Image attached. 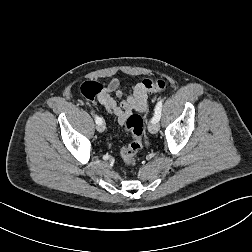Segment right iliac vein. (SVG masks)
I'll return each instance as SVG.
<instances>
[{
	"label": "right iliac vein",
	"instance_id": "1",
	"mask_svg": "<svg viewBox=\"0 0 252 252\" xmlns=\"http://www.w3.org/2000/svg\"><path fill=\"white\" fill-rule=\"evenodd\" d=\"M96 128L99 132H103L105 130V124L102 122L101 124H98Z\"/></svg>",
	"mask_w": 252,
	"mask_h": 252
}]
</instances>
